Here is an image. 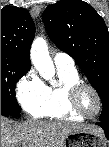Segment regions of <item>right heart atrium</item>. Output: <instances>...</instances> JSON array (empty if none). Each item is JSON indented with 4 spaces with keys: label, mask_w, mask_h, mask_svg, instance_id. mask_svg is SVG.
<instances>
[{
    "label": "right heart atrium",
    "mask_w": 109,
    "mask_h": 147,
    "mask_svg": "<svg viewBox=\"0 0 109 147\" xmlns=\"http://www.w3.org/2000/svg\"><path fill=\"white\" fill-rule=\"evenodd\" d=\"M16 96L23 107L41 104L47 98L46 85L33 72H28L18 81Z\"/></svg>",
    "instance_id": "right-heart-atrium-1"
}]
</instances>
